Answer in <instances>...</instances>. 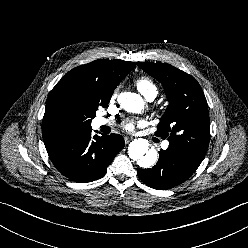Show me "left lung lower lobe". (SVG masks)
Listing matches in <instances>:
<instances>
[{"label": "left lung lower lobe", "instance_id": "obj_1", "mask_svg": "<svg viewBox=\"0 0 248 248\" xmlns=\"http://www.w3.org/2000/svg\"><path fill=\"white\" fill-rule=\"evenodd\" d=\"M202 160L191 157L181 149L169 145L159 152L158 163L151 169H138L139 179L154 189L175 187L188 179Z\"/></svg>", "mask_w": 248, "mask_h": 248}]
</instances>
